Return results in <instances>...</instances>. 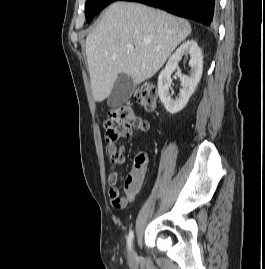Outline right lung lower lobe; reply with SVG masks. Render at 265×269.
Listing matches in <instances>:
<instances>
[{
  "instance_id": "1",
  "label": "right lung lower lobe",
  "mask_w": 265,
  "mask_h": 269,
  "mask_svg": "<svg viewBox=\"0 0 265 269\" xmlns=\"http://www.w3.org/2000/svg\"><path fill=\"white\" fill-rule=\"evenodd\" d=\"M143 3L210 25L217 11L216 0H121Z\"/></svg>"
}]
</instances>
